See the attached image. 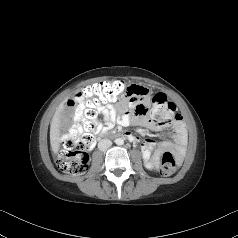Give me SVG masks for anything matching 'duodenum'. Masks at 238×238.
<instances>
[{
    "instance_id": "410a0bca",
    "label": "duodenum",
    "mask_w": 238,
    "mask_h": 238,
    "mask_svg": "<svg viewBox=\"0 0 238 238\" xmlns=\"http://www.w3.org/2000/svg\"><path fill=\"white\" fill-rule=\"evenodd\" d=\"M122 136L126 137L128 140L130 141H136V137H134L132 134L130 133H124L122 134Z\"/></svg>"
}]
</instances>
